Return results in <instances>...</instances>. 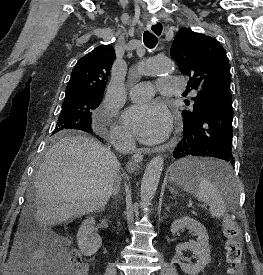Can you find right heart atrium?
I'll return each instance as SVG.
<instances>
[{"label": "right heart atrium", "instance_id": "1", "mask_svg": "<svg viewBox=\"0 0 263 275\" xmlns=\"http://www.w3.org/2000/svg\"><path fill=\"white\" fill-rule=\"evenodd\" d=\"M111 118V109L109 107V105H104L101 116L99 118V124L101 126H105L109 123ZM111 135L112 137L121 142V143H129L130 142V136L129 134L125 131L124 128L120 127V126H115L112 128L111 131Z\"/></svg>", "mask_w": 263, "mask_h": 275}]
</instances>
